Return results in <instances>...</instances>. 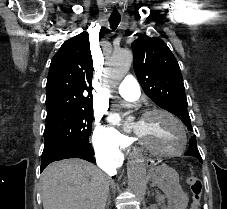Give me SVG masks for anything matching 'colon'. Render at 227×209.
Instances as JSON below:
<instances>
[{
    "mask_svg": "<svg viewBox=\"0 0 227 209\" xmlns=\"http://www.w3.org/2000/svg\"><path fill=\"white\" fill-rule=\"evenodd\" d=\"M187 184L192 194L190 209H201L202 182L199 178L191 176L187 179Z\"/></svg>",
    "mask_w": 227,
    "mask_h": 209,
    "instance_id": "colon-1",
    "label": "colon"
}]
</instances>
